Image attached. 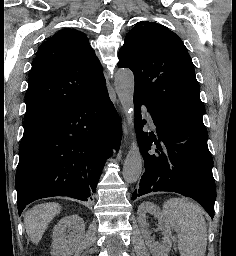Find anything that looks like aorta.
Returning a JSON list of instances; mask_svg holds the SVG:
<instances>
[{
	"instance_id": "aorta-1",
	"label": "aorta",
	"mask_w": 236,
	"mask_h": 256,
	"mask_svg": "<svg viewBox=\"0 0 236 256\" xmlns=\"http://www.w3.org/2000/svg\"><path fill=\"white\" fill-rule=\"evenodd\" d=\"M134 86L135 79L131 70L123 68L116 72L115 89L131 133V146L125 158L122 172L123 178L127 183L137 182L143 169V159L134 132Z\"/></svg>"
}]
</instances>
